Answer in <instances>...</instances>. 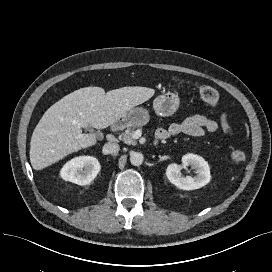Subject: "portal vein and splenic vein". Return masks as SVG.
I'll return each instance as SVG.
<instances>
[{
    "label": "portal vein and splenic vein",
    "mask_w": 272,
    "mask_h": 272,
    "mask_svg": "<svg viewBox=\"0 0 272 272\" xmlns=\"http://www.w3.org/2000/svg\"><path fill=\"white\" fill-rule=\"evenodd\" d=\"M133 137H139V132L138 131L134 132Z\"/></svg>",
    "instance_id": "portal-vein-and-splenic-vein-1"
}]
</instances>
